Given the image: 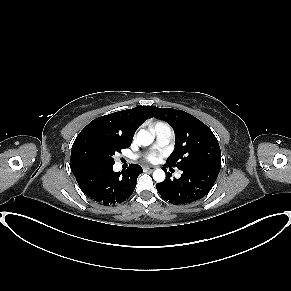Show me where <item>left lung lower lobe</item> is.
Wrapping results in <instances>:
<instances>
[{"mask_svg": "<svg viewBox=\"0 0 291 291\" xmlns=\"http://www.w3.org/2000/svg\"><path fill=\"white\" fill-rule=\"evenodd\" d=\"M179 179H171L168 173L166 179L156 184L159 194L174 205L187 204L204 197L213 187L220 167L214 165H193L181 168Z\"/></svg>", "mask_w": 291, "mask_h": 291, "instance_id": "0a47b994", "label": "left lung lower lobe"}]
</instances>
